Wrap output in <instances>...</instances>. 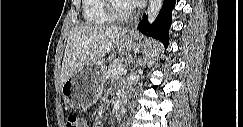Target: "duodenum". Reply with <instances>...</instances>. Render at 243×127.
<instances>
[{"label":"duodenum","instance_id":"1","mask_svg":"<svg viewBox=\"0 0 243 127\" xmlns=\"http://www.w3.org/2000/svg\"><path fill=\"white\" fill-rule=\"evenodd\" d=\"M123 107H124V100L123 99L118 100L114 107V112L117 119L120 118L123 111Z\"/></svg>","mask_w":243,"mask_h":127}]
</instances>
